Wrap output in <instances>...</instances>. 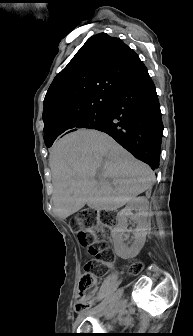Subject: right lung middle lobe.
Here are the masks:
<instances>
[{"label":"right lung middle lobe","mask_w":193,"mask_h":336,"mask_svg":"<svg viewBox=\"0 0 193 336\" xmlns=\"http://www.w3.org/2000/svg\"><path fill=\"white\" fill-rule=\"evenodd\" d=\"M107 118L108 108L89 112L76 119L73 131L79 130L80 128L101 129L106 124ZM54 141V139L48 138L45 140V144L47 147H51Z\"/></svg>","instance_id":"right-lung-middle-lobe-1"}]
</instances>
